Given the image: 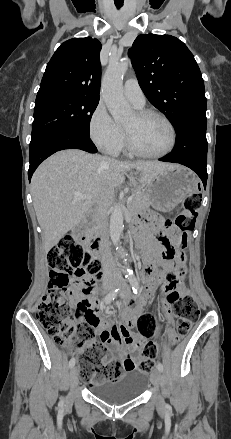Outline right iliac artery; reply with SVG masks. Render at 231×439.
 Instances as JSON below:
<instances>
[{
  "mask_svg": "<svg viewBox=\"0 0 231 439\" xmlns=\"http://www.w3.org/2000/svg\"><path fill=\"white\" fill-rule=\"evenodd\" d=\"M118 293H119V289H117V288H116V289H113L112 291H110V292L107 294V296L105 297V303H106V304H109L110 302H112V300L115 299V297L117 296ZM75 362H76L75 358H72V359L69 361V367L72 368V367L75 365ZM63 404H64V401L61 400L60 405L63 406Z\"/></svg>",
  "mask_w": 231,
  "mask_h": 439,
  "instance_id": "82829eb1",
  "label": "right iliac artery"
}]
</instances>
